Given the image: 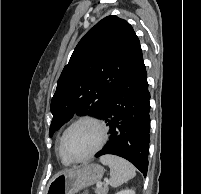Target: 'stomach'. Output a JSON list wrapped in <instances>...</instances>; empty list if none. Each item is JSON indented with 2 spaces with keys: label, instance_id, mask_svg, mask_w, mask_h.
I'll list each match as a JSON object with an SVG mask.
<instances>
[{
  "label": "stomach",
  "instance_id": "obj_1",
  "mask_svg": "<svg viewBox=\"0 0 201 194\" xmlns=\"http://www.w3.org/2000/svg\"><path fill=\"white\" fill-rule=\"evenodd\" d=\"M103 174L104 169L96 164L59 173L49 183L47 194H76L81 189L100 181Z\"/></svg>",
  "mask_w": 201,
  "mask_h": 194
}]
</instances>
